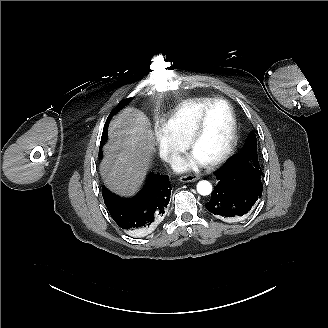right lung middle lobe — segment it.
Returning <instances> with one entry per match:
<instances>
[{"instance_id": "right-lung-middle-lobe-1", "label": "right lung middle lobe", "mask_w": 328, "mask_h": 328, "mask_svg": "<svg viewBox=\"0 0 328 328\" xmlns=\"http://www.w3.org/2000/svg\"><path fill=\"white\" fill-rule=\"evenodd\" d=\"M131 101L130 98L125 99L123 101H121L109 114L106 123L104 125V129H103V133H102V137H101V142H100V149H99V156L102 157V147L103 144L105 143V141L107 140V130H108V125L109 122L111 120V118L118 112L120 111V109L124 108L129 102Z\"/></svg>"}]
</instances>
